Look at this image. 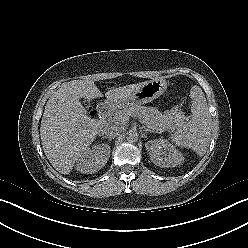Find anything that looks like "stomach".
<instances>
[{
    "label": "stomach",
    "instance_id": "stomach-1",
    "mask_svg": "<svg viewBox=\"0 0 248 248\" xmlns=\"http://www.w3.org/2000/svg\"><path fill=\"white\" fill-rule=\"evenodd\" d=\"M166 88V80L162 78H155L150 81H146L138 90L132 93L128 98L116 100L108 99V102L114 108L118 109L130 106L132 104H144L161 96L166 91Z\"/></svg>",
    "mask_w": 248,
    "mask_h": 248
}]
</instances>
